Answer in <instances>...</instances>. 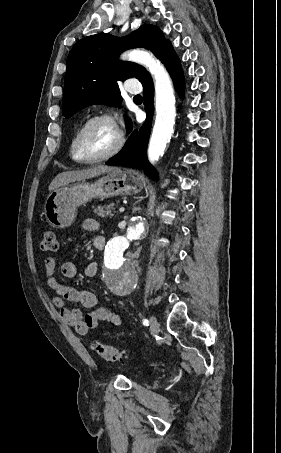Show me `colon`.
Returning <instances> with one entry per match:
<instances>
[{"label": "colon", "mask_w": 281, "mask_h": 453, "mask_svg": "<svg viewBox=\"0 0 281 453\" xmlns=\"http://www.w3.org/2000/svg\"><path fill=\"white\" fill-rule=\"evenodd\" d=\"M58 249V232L56 230H47L41 242V250L43 252H57ZM94 350L98 357L106 363H119L122 361L121 352L114 347L96 343Z\"/></svg>", "instance_id": "1"}]
</instances>
